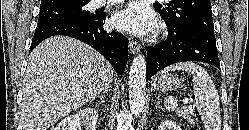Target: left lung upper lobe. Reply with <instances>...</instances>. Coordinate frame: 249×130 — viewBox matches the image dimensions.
Segmentation results:
<instances>
[{
  "instance_id": "obj_1",
  "label": "left lung upper lobe",
  "mask_w": 249,
  "mask_h": 130,
  "mask_svg": "<svg viewBox=\"0 0 249 130\" xmlns=\"http://www.w3.org/2000/svg\"><path fill=\"white\" fill-rule=\"evenodd\" d=\"M153 6L166 23L180 29L194 27L214 32L210 0H171Z\"/></svg>"
}]
</instances>
